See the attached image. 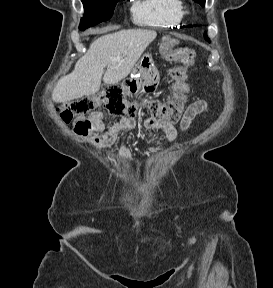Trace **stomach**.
Returning a JSON list of instances; mask_svg holds the SVG:
<instances>
[{
    "label": "stomach",
    "mask_w": 273,
    "mask_h": 288,
    "mask_svg": "<svg viewBox=\"0 0 273 288\" xmlns=\"http://www.w3.org/2000/svg\"><path fill=\"white\" fill-rule=\"evenodd\" d=\"M175 45V40L170 36H163L160 43V51L168 54ZM134 78L127 79L122 83V88L132 94L151 93L156 89L157 70L151 54H144L133 69Z\"/></svg>",
    "instance_id": "0dacf381"
}]
</instances>
